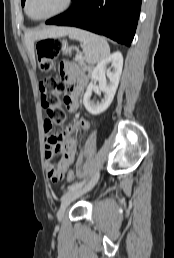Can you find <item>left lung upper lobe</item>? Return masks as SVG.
<instances>
[{
	"mask_svg": "<svg viewBox=\"0 0 174 258\" xmlns=\"http://www.w3.org/2000/svg\"><path fill=\"white\" fill-rule=\"evenodd\" d=\"M21 2H22V6H23V5H24L25 0H21Z\"/></svg>",
	"mask_w": 174,
	"mask_h": 258,
	"instance_id": "left-lung-upper-lobe-1",
	"label": "left lung upper lobe"
}]
</instances>
